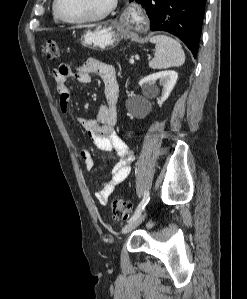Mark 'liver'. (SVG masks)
Segmentation results:
<instances>
[{"instance_id":"liver-1","label":"liver","mask_w":247,"mask_h":299,"mask_svg":"<svg viewBox=\"0 0 247 299\" xmlns=\"http://www.w3.org/2000/svg\"><path fill=\"white\" fill-rule=\"evenodd\" d=\"M81 27H91V26H80V28H81Z\"/></svg>"}]
</instances>
